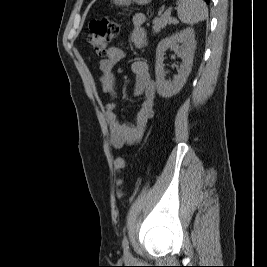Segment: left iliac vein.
Returning <instances> with one entry per match:
<instances>
[{
	"label": "left iliac vein",
	"instance_id": "1",
	"mask_svg": "<svg viewBox=\"0 0 267 267\" xmlns=\"http://www.w3.org/2000/svg\"><path fill=\"white\" fill-rule=\"evenodd\" d=\"M125 255L127 256V257H130V252L127 250V251H125Z\"/></svg>",
	"mask_w": 267,
	"mask_h": 267
}]
</instances>
